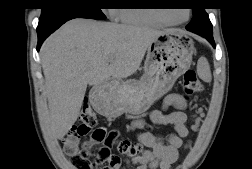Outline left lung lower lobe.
Returning <instances> with one entry per match:
<instances>
[{
  "mask_svg": "<svg viewBox=\"0 0 252 169\" xmlns=\"http://www.w3.org/2000/svg\"><path fill=\"white\" fill-rule=\"evenodd\" d=\"M187 29V28H186ZM188 30V29H187ZM193 33H196L204 38H206L214 47H215V43H214V39H213V35H209V34H206L202 31H191Z\"/></svg>",
  "mask_w": 252,
  "mask_h": 169,
  "instance_id": "0a47b994",
  "label": "left lung lower lobe"
}]
</instances>
